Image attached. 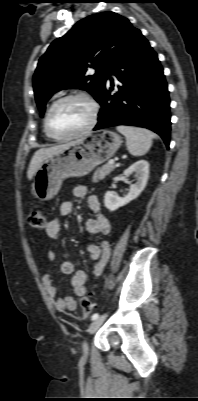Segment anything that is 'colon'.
<instances>
[{"label":"colon","mask_w":198,"mask_h":401,"mask_svg":"<svg viewBox=\"0 0 198 401\" xmlns=\"http://www.w3.org/2000/svg\"><path fill=\"white\" fill-rule=\"evenodd\" d=\"M29 225L33 228L43 229L46 226L44 214L40 210H32L28 216ZM81 308L83 317H88L93 309V303L89 297L81 299Z\"/></svg>","instance_id":"1"}]
</instances>
